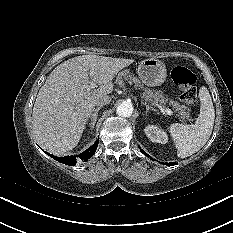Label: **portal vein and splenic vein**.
Returning a JSON list of instances; mask_svg holds the SVG:
<instances>
[{
  "label": "portal vein and splenic vein",
  "instance_id": "1",
  "mask_svg": "<svg viewBox=\"0 0 233 233\" xmlns=\"http://www.w3.org/2000/svg\"><path fill=\"white\" fill-rule=\"evenodd\" d=\"M90 75L93 76L94 75V72H90ZM90 86L92 88H95L96 87V83L94 81L90 82ZM165 112L168 114V115H172L173 114V111H171V109L169 108H166L165 109Z\"/></svg>",
  "mask_w": 233,
  "mask_h": 233
}]
</instances>
